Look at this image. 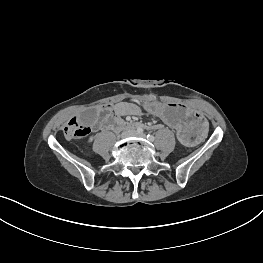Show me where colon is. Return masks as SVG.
<instances>
[{"label": "colon", "mask_w": 263, "mask_h": 263, "mask_svg": "<svg viewBox=\"0 0 263 263\" xmlns=\"http://www.w3.org/2000/svg\"><path fill=\"white\" fill-rule=\"evenodd\" d=\"M112 110V105L106 104L100 108L101 115H107ZM89 127L86 126L81 119L75 117L71 119L64 128L66 135L72 139H80L89 133Z\"/></svg>", "instance_id": "obj_1"}]
</instances>
